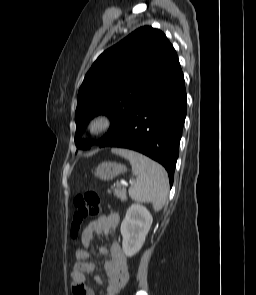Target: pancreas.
Listing matches in <instances>:
<instances>
[{
    "label": "pancreas",
    "mask_w": 256,
    "mask_h": 295,
    "mask_svg": "<svg viewBox=\"0 0 256 295\" xmlns=\"http://www.w3.org/2000/svg\"><path fill=\"white\" fill-rule=\"evenodd\" d=\"M114 195L117 196L118 198H121L122 200L126 199V190L121 189V186H117L114 191Z\"/></svg>",
    "instance_id": "obj_1"
}]
</instances>
